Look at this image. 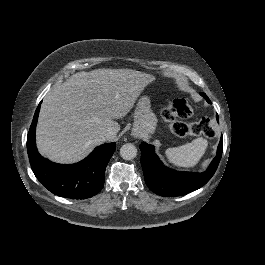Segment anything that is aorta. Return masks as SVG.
Here are the masks:
<instances>
[{
  "mask_svg": "<svg viewBox=\"0 0 265 265\" xmlns=\"http://www.w3.org/2000/svg\"><path fill=\"white\" fill-rule=\"evenodd\" d=\"M120 155L124 160H132L137 155V148L131 143H126L120 148Z\"/></svg>",
  "mask_w": 265,
  "mask_h": 265,
  "instance_id": "762f6f07",
  "label": "aorta"
}]
</instances>
